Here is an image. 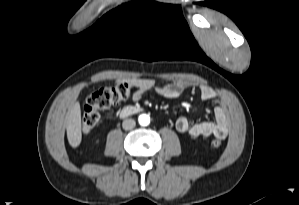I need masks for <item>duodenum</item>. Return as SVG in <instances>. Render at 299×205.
<instances>
[{"label": "duodenum", "instance_id": "410a0bca", "mask_svg": "<svg viewBox=\"0 0 299 205\" xmlns=\"http://www.w3.org/2000/svg\"><path fill=\"white\" fill-rule=\"evenodd\" d=\"M141 110H142V108L139 106L128 105V106L123 107L119 111V116L122 118L129 117L131 115H134V114L140 112Z\"/></svg>", "mask_w": 299, "mask_h": 205}]
</instances>
